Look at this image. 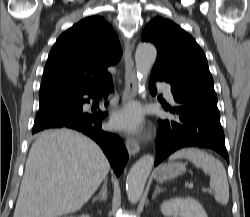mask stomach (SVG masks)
Returning <instances> with one entry per match:
<instances>
[{
	"label": "stomach",
	"instance_id": "obj_1",
	"mask_svg": "<svg viewBox=\"0 0 250 217\" xmlns=\"http://www.w3.org/2000/svg\"><path fill=\"white\" fill-rule=\"evenodd\" d=\"M186 165L184 163H167L160 166L155 173V179L158 182H164L169 179L176 178L177 176L185 173Z\"/></svg>",
	"mask_w": 250,
	"mask_h": 217
}]
</instances>
